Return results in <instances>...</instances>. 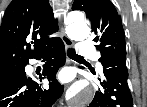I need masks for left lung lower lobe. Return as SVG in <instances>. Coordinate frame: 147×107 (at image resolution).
<instances>
[{"instance_id": "obj_1", "label": "left lung lower lobe", "mask_w": 147, "mask_h": 107, "mask_svg": "<svg viewBox=\"0 0 147 107\" xmlns=\"http://www.w3.org/2000/svg\"><path fill=\"white\" fill-rule=\"evenodd\" d=\"M101 63L105 80L88 107H133L127 83L126 56L112 55Z\"/></svg>"}]
</instances>
